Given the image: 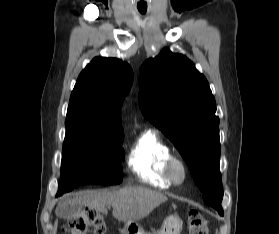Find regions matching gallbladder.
<instances>
[{
	"mask_svg": "<svg viewBox=\"0 0 279 234\" xmlns=\"http://www.w3.org/2000/svg\"><path fill=\"white\" fill-rule=\"evenodd\" d=\"M84 210L80 205H69L64 210L59 211V216L61 218H70L83 213Z\"/></svg>",
	"mask_w": 279,
	"mask_h": 234,
	"instance_id": "1",
	"label": "gallbladder"
}]
</instances>
